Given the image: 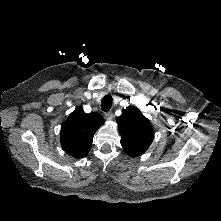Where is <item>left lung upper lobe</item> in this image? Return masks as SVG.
Returning a JSON list of instances; mask_svg holds the SVG:
<instances>
[{"mask_svg": "<svg viewBox=\"0 0 221 221\" xmlns=\"http://www.w3.org/2000/svg\"><path fill=\"white\" fill-rule=\"evenodd\" d=\"M121 145L130 157H136L145 152L154 138L150 121L134 106L123 109L117 118Z\"/></svg>", "mask_w": 221, "mask_h": 221, "instance_id": "left-lung-upper-lobe-1", "label": "left lung upper lobe"}]
</instances>
